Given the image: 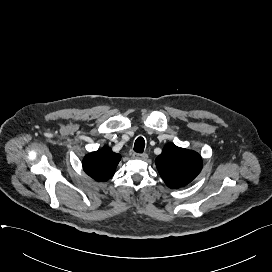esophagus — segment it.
<instances>
[{
	"mask_svg": "<svg viewBox=\"0 0 272 272\" xmlns=\"http://www.w3.org/2000/svg\"><path fill=\"white\" fill-rule=\"evenodd\" d=\"M133 157L136 159L147 160L148 155L146 153H142V154L135 153Z\"/></svg>",
	"mask_w": 272,
	"mask_h": 272,
	"instance_id": "obj_1",
	"label": "esophagus"
}]
</instances>
